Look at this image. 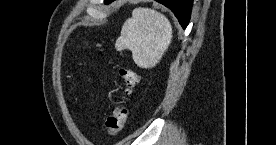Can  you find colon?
Masks as SVG:
<instances>
[{
    "instance_id": "colon-1",
    "label": "colon",
    "mask_w": 276,
    "mask_h": 145,
    "mask_svg": "<svg viewBox=\"0 0 276 145\" xmlns=\"http://www.w3.org/2000/svg\"><path fill=\"white\" fill-rule=\"evenodd\" d=\"M120 77L125 86L126 94H130L133 88L138 84L139 74L130 68H121ZM128 115L127 108L124 103L116 105L107 116L104 131L109 136L118 135L124 127Z\"/></svg>"
}]
</instances>
